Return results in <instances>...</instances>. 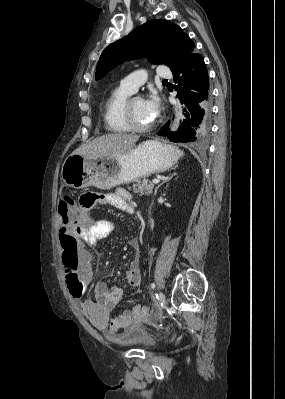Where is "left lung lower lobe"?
Segmentation results:
<instances>
[{"instance_id": "1", "label": "left lung lower lobe", "mask_w": 285, "mask_h": 399, "mask_svg": "<svg viewBox=\"0 0 285 399\" xmlns=\"http://www.w3.org/2000/svg\"><path fill=\"white\" fill-rule=\"evenodd\" d=\"M179 98L184 105V117L177 132L169 130L167 123L158 135L168 136L174 142H194L202 140L209 128L211 114V93L209 77L204 58L193 51L172 71Z\"/></svg>"}]
</instances>
